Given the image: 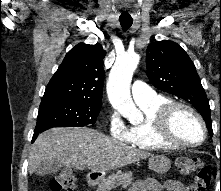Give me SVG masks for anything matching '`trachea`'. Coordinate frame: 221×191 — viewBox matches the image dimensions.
<instances>
[{
    "instance_id": "3493384b",
    "label": "trachea",
    "mask_w": 221,
    "mask_h": 191,
    "mask_svg": "<svg viewBox=\"0 0 221 191\" xmlns=\"http://www.w3.org/2000/svg\"><path fill=\"white\" fill-rule=\"evenodd\" d=\"M120 24L123 30H127L132 26L133 20L132 18H119Z\"/></svg>"
}]
</instances>
